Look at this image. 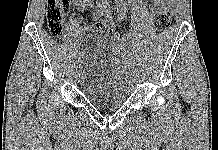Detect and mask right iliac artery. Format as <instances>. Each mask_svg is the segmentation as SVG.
I'll list each match as a JSON object with an SVG mask.
<instances>
[{
    "label": "right iliac artery",
    "instance_id": "right-iliac-artery-1",
    "mask_svg": "<svg viewBox=\"0 0 218 150\" xmlns=\"http://www.w3.org/2000/svg\"><path fill=\"white\" fill-rule=\"evenodd\" d=\"M103 4H104V3H103ZM105 6H106V5H103V7H105ZM81 56H82V53H79V54H78V57H79L78 59H79V60H80Z\"/></svg>",
    "mask_w": 218,
    "mask_h": 150
}]
</instances>
